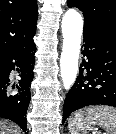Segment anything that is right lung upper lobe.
<instances>
[{
  "mask_svg": "<svg viewBox=\"0 0 116 134\" xmlns=\"http://www.w3.org/2000/svg\"><path fill=\"white\" fill-rule=\"evenodd\" d=\"M37 0H0V57L36 33Z\"/></svg>",
  "mask_w": 116,
  "mask_h": 134,
  "instance_id": "cb5924a9",
  "label": "right lung upper lobe"
}]
</instances>
